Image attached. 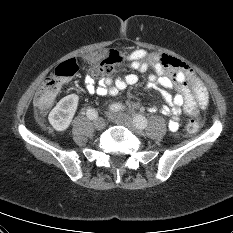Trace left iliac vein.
Returning a JSON list of instances; mask_svg holds the SVG:
<instances>
[{"mask_svg":"<svg viewBox=\"0 0 233 233\" xmlns=\"http://www.w3.org/2000/svg\"><path fill=\"white\" fill-rule=\"evenodd\" d=\"M109 118L116 124L122 125L130 129L131 131H134L138 134H143L142 130L138 128L132 118L126 114L123 113H110Z\"/></svg>","mask_w":233,"mask_h":233,"instance_id":"1","label":"left iliac vein"}]
</instances>
